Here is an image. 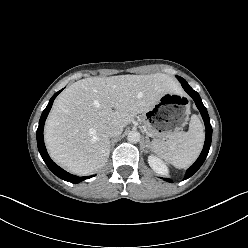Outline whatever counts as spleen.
<instances>
[{"mask_svg":"<svg viewBox=\"0 0 248 248\" xmlns=\"http://www.w3.org/2000/svg\"><path fill=\"white\" fill-rule=\"evenodd\" d=\"M204 143V128L197 115H192L189 130L176 132L166 141L154 142V152L176 168L189 167L199 156Z\"/></svg>","mask_w":248,"mask_h":248,"instance_id":"spleen-1","label":"spleen"}]
</instances>
